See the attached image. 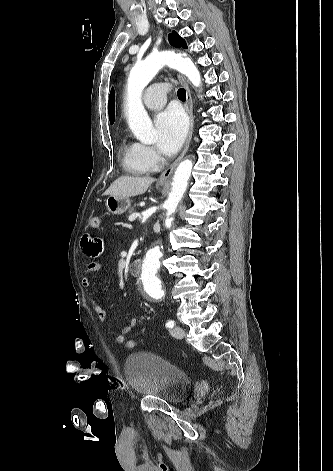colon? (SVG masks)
Here are the masks:
<instances>
[{
  "instance_id": "1",
  "label": "colon",
  "mask_w": 333,
  "mask_h": 471,
  "mask_svg": "<svg viewBox=\"0 0 333 471\" xmlns=\"http://www.w3.org/2000/svg\"><path fill=\"white\" fill-rule=\"evenodd\" d=\"M89 226L92 229H97L100 226V217L97 215L92 216L89 220ZM124 344L128 349H134L137 346L136 341L133 339L126 340Z\"/></svg>"
}]
</instances>
